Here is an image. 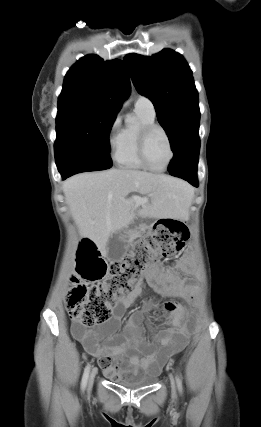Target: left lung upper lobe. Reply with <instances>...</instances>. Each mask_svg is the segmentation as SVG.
<instances>
[{
  "label": "left lung upper lobe",
  "instance_id": "5c2ea615",
  "mask_svg": "<svg viewBox=\"0 0 261 427\" xmlns=\"http://www.w3.org/2000/svg\"><path fill=\"white\" fill-rule=\"evenodd\" d=\"M124 62L137 91L154 104L174 151L186 133L199 129L198 92L187 62L170 49L152 57L128 54Z\"/></svg>",
  "mask_w": 261,
  "mask_h": 427
}]
</instances>
